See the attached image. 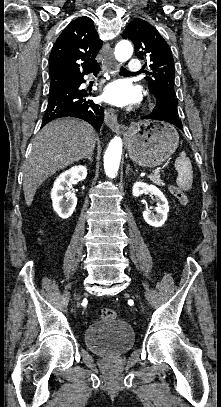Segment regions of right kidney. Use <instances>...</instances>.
I'll list each match as a JSON object with an SVG mask.
<instances>
[{
  "mask_svg": "<svg viewBox=\"0 0 221 407\" xmlns=\"http://www.w3.org/2000/svg\"><path fill=\"white\" fill-rule=\"evenodd\" d=\"M87 176V168L85 166H74L63 172L56 178L51 190V199L53 209L62 219L69 218L77 205V197L70 192L72 183L75 179L85 180ZM64 197L67 200H64Z\"/></svg>",
  "mask_w": 221,
  "mask_h": 407,
  "instance_id": "1",
  "label": "right kidney"
}]
</instances>
